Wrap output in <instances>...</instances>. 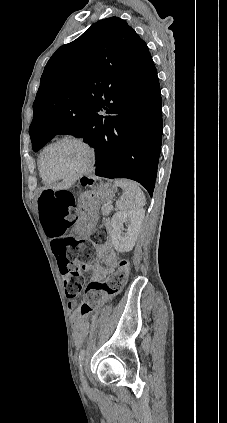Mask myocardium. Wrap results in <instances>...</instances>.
<instances>
[{
  "label": "myocardium",
  "mask_w": 227,
  "mask_h": 423,
  "mask_svg": "<svg viewBox=\"0 0 227 423\" xmlns=\"http://www.w3.org/2000/svg\"><path fill=\"white\" fill-rule=\"evenodd\" d=\"M65 142H75L82 145L88 151L87 164L77 173L74 174H58L50 171L46 165V155L50 150ZM97 163V151L95 147L88 142L84 137L76 135H67L47 145L41 152L40 165L43 173L54 180L75 181L79 180L94 171Z\"/></svg>",
  "instance_id": "obj_1"
}]
</instances>
